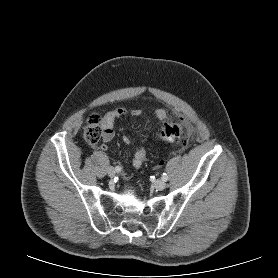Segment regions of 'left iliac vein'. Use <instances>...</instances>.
I'll return each mask as SVG.
<instances>
[{"instance_id":"left-iliac-vein-1","label":"left iliac vein","mask_w":278,"mask_h":278,"mask_svg":"<svg viewBox=\"0 0 278 278\" xmlns=\"http://www.w3.org/2000/svg\"><path fill=\"white\" fill-rule=\"evenodd\" d=\"M154 185H155V188L158 189V190H163V189H165V187H166V183H165V181H163V180H157V181L154 183Z\"/></svg>"}]
</instances>
